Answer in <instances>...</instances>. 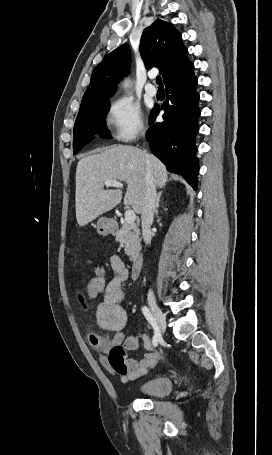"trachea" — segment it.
Wrapping results in <instances>:
<instances>
[{
    "mask_svg": "<svg viewBox=\"0 0 272 455\" xmlns=\"http://www.w3.org/2000/svg\"><path fill=\"white\" fill-rule=\"evenodd\" d=\"M156 83L159 85V87H163L161 76L156 77Z\"/></svg>",
    "mask_w": 272,
    "mask_h": 455,
    "instance_id": "trachea-1",
    "label": "trachea"
}]
</instances>
